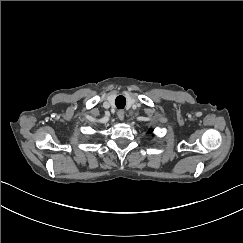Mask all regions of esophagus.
Here are the masks:
<instances>
[{
  "label": "esophagus",
  "instance_id": "obj_1",
  "mask_svg": "<svg viewBox=\"0 0 243 243\" xmlns=\"http://www.w3.org/2000/svg\"><path fill=\"white\" fill-rule=\"evenodd\" d=\"M117 116H118L119 120L122 121V120L124 119V116H125L124 111H123V110H119V111L117 112Z\"/></svg>",
  "mask_w": 243,
  "mask_h": 243
}]
</instances>
